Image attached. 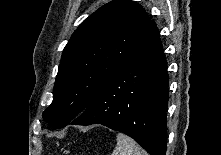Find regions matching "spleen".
I'll use <instances>...</instances> for the list:
<instances>
[{"mask_svg":"<svg viewBox=\"0 0 221 155\" xmlns=\"http://www.w3.org/2000/svg\"><path fill=\"white\" fill-rule=\"evenodd\" d=\"M117 144L111 155H147L132 138L118 133L116 136Z\"/></svg>","mask_w":221,"mask_h":155,"instance_id":"3e777b00","label":"spleen"}]
</instances>
